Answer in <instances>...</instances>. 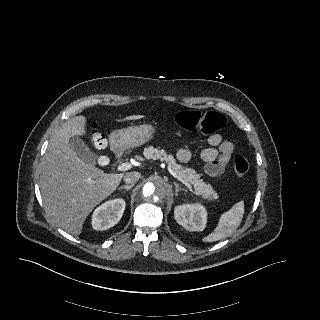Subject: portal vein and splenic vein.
Segmentation results:
<instances>
[{
  "label": "portal vein and splenic vein",
  "instance_id": "obj_1",
  "mask_svg": "<svg viewBox=\"0 0 320 320\" xmlns=\"http://www.w3.org/2000/svg\"><path fill=\"white\" fill-rule=\"evenodd\" d=\"M131 168H132V166H131L130 163H122L117 167V170H119V171H127V170H129ZM168 171L170 172V174L172 176H174L179 181H181L183 184H185V186L188 189L192 190V186L188 182H186L181 176H179L175 171H173L170 167H168Z\"/></svg>",
  "mask_w": 320,
  "mask_h": 320
}]
</instances>
